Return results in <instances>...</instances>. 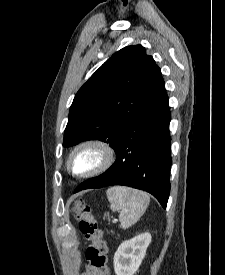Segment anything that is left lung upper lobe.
Here are the masks:
<instances>
[{"label":"left lung upper lobe","instance_id":"1","mask_svg":"<svg viewBox=\"0 0 225 275\" xmlns=\"http://www.w3.org/2000/svg\"><path fill=\"white\" fill-rule=\"evenodd\" d=\"M164 87L160 68L143 46L122 48L75 95L63 146L98 139L115 150L128 128Z\"/></svg>","mask_w":225,"mask_h":275}]
</instances>
